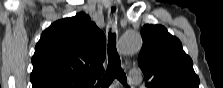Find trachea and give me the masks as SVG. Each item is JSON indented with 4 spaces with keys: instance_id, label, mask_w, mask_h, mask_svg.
Returning a JSON list of instances; mask_svg holds the SVG:
<instances>
[{
    "instance_id": "trachea-1",
    "label": "trachea",
    "mask_w": 223,
    "mask_h": 88,
    "mask_svg": "<svg viewBox=\"0 0 223 88\" xmlns=\"http://www.w3.org/2000/svg\"><path fill=\"white\" fill-rule=\"evenodd\" d=\"M115 8H112L114 11ZM126 85V75L121 68L120 56L116 50V34L109 33L108 35V66L101 80L98 81V86L108 88L114 79Z\"/></svg>"
}]
</instances>
